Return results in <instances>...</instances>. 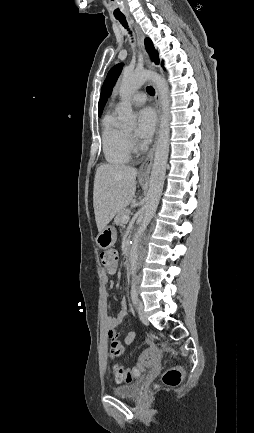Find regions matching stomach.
Instances as JSON below:
<instances>
[{"label": "stomach", "mask_w": 254, "mask_h": 433, "mask_svg": "<svg viewBox=\"0 0 254 433\" xmlns=\"http://www.w3.org/2000/svg\"><path fill=\"white\" fill-rule=\"evenodd\" d=\"M116 238V229L113 226H106L102 231L99 232L96 242L100 248L108 249L115 244Z\"/></svg>", "instance_id": "0dacf381"}]
</instances>
